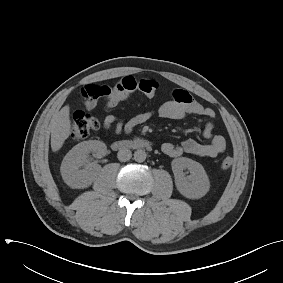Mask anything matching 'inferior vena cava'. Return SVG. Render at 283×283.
<instances>
[{
	"label": "inferior vena cava",
	"mask_w": 283,
	"mask_h": 283,
	"mask_svg": "<svg viewBox=\"0 0 283 283\" xmlns=\"http://www.w3.org/2000/svg\"><path fill=\"white\" fill-rule=\"evenodd\" d=\"M117 157H118L119 161L126 162V161L131 159L132 152L127 148H122L118 151Z\"/></svg>",
	"instance_id": "602c4592"
}]
</instances>
